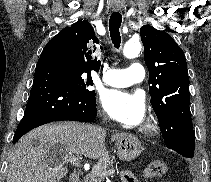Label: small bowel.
<instances>
[{"label": "small bowel", "mask_w": 211, "mask_h": 182, "mask_svg": "<svg viewBox=\"0 0 211 182\" xmlns=\"http://www.w3.org/2000/svg\"><path fill=\"white\" fill-rule=\"evenodd\" d=\"M122 182H138L130 171H123L121 174Z\"/></svg>", "instance_id": "obj_1"}]
</instances>
